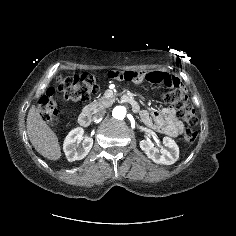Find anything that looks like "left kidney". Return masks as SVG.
Listing matches in <instances>:
<instances>
[{"mask_svg": "<svg viewBox=\"0 0 236 236\" xmlns=\"http://www.w3.org/2000/svg\"><path fill=\"white\" fill-rule=\"evenodd\" d=\"M163 144L166 149L159 150L154 147V144L149 140L140 141V148L145 152L147 157L157 164L171 165L179 158V147L176 142L170 137L163 138Z\"/></svg>", "mask_w": 236, "mask_h": 236, "instance_id": "obj_1", "label": "left kidney"}]
</instances>
